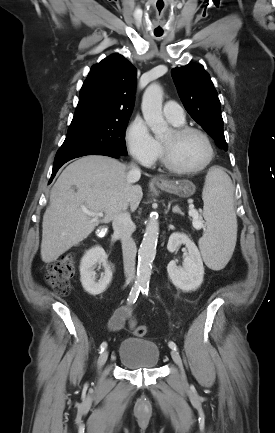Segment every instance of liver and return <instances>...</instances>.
Here are the masks:
<instances>
[{
	"label": "liver",
	"mask_w": 275,
	"mask_h": 433,
	"mask_svg": "<svg viewBox=\"0 0 275 433\" xmlns=\"http://www.w3.org/2000/svg\"><path fill=\"white\" fill-rule=\"evenodd\" d=\"M127 166L116 159L89 155L68 165L54 184L42 223L41 258L56 261L91 234L109 223L121 210L137 209L143 192L130 182ZM104 213L101 219L83 212Z\"/></svg>",
	"instance_id": "6515ba94"
}]
</instances>
